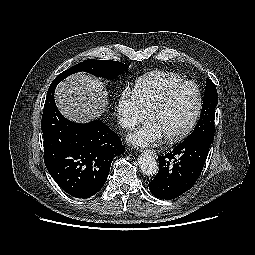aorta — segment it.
Returning a JSON list of instances; mask_svg holds the SVG:
<instances>
[{"label":"aorta","mask_w":255,"mask_h":255,"mask_svg":"<svg viewBox=\"0 0 255 255\" xmlns=\"http://www.w3.org/2000/svg\"><path fill=\"white\" fill-rule=\"evenodd\" d=\"M138 164L142 172L147 176H155L158 173L159 167L157 161L155 156L150 152L140 155Z\"/></svg>","instance_id":"obj_1"}]
</instances>
